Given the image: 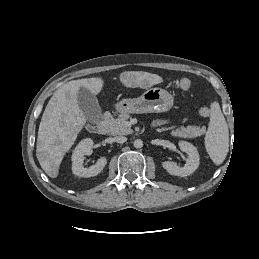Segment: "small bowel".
Returning a JSON list of instances; mask_svg holds the SVG:
<instances>
[{"mask_svg": "<svg viewBox=\"0 0 259 259\" xmlns=\"http://www.w3.org/2000/svg\"><path fill=\"white\" fill-rule=\"evenodd\" d=\"M164 123H165L164 120H157L154 124H155L156 126H159V125H162V124H164Z\"/></svg>", "mask_w": 259, "mask_h": 259, "instance_id": "1", "label": "small bowel"}]
</instances>
